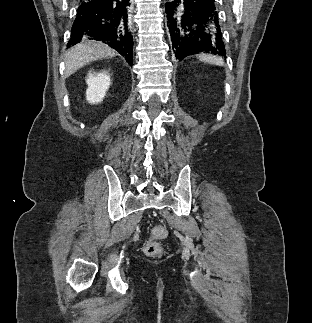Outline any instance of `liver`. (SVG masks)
Here are the masks:
<instances>
[{"label":"liver","instance_id":"1","mask_svg":"<svg viewBox=\"0 0 312 323\" xmlns=\"http://www.w3.org/2000/svg\"><path fill=\"white\" fill-rule=\"evenodd\" d=\"M108 56H117L115 50L109 48L107 44L94 42V40H82L80 44H76L70 48L65 58V76H71L77 72L79 68H83L88 62H95L99 58H108Z\"/></svg>","mask_w":312,"mask_h":323}]
</instances>
